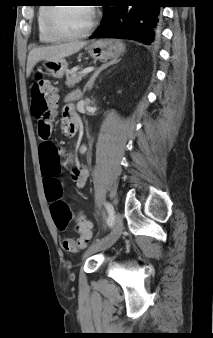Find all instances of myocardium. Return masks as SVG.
I'll return each instance as SVG.
<instances>
[{
  "label": "myocardium",
  "instance_id": "myocardium-1",
  "mask_svg": "<svg viewBox=\"0 0 213 338\" xmlns=\"http://www.w3.org/2000/svg\"><path fill=\"white\" fill-rule=\"evenodd\" d=\"M59 7H66V6H56V7L49 8L47 15H46V19H45V30L48 33V35L51 36L52 38L56 40H74V39L86 37L94 30L96 23H97V12L92 6H85L90 9L91 19H90L88 26L83 31L79 33H74V34H65V33L58 31L54 27L53 15H54L55 10Z\"/></svg>",
  "mask_w": 213,
  "mask_h": 338
}]
</instances>
